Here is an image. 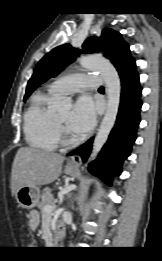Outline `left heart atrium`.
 <instances>
[{
    "label": "left heart atrium",
    "instance_id": "39dd6f15",
    "mask_svg": "<svg viewBox=\"0 0 162 261\" xmlns=\"http://www.w3.org/2000/svg\"><path fill=\"white\" fill-rule=\"evenodd\" d=\"M96 111V106L89 96L80 97L70 116L69 129L78 135L89 133L96 121Z\"/></svg>",
    "mask_w": 162,
    "mask_h": 261
}]
</instances>
